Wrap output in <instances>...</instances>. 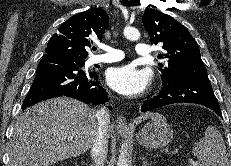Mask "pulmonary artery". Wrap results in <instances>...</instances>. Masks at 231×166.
Segmentation results:
<instances>
[{
	"label": "pulmonary artery",
	"instance_id": "e3ab8cb5",
	"mask_svg": "<svg viewBox=\"0 0 231 166\" xmlns=\"http://www.w3.org/2000/svg\"><path fill=\"white\" fill-rule=\"evenodd\" d=\"M102 49L105 51L104 54L95 55L90 59V64H101V63H112L123 59L124 53L112 46L104 45ZM136 53L139 56L147 57L152 53V48L144 43H138L135 47Z\"/></svg>",
	"mask_w": 231,
	"mask_h": 166
}]
</instances>
